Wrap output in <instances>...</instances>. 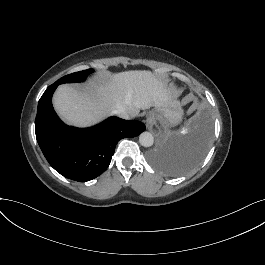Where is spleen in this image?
I'll return each instance as SVG.
<instances>
[{"instance_id":"3e777b00","label":"spleen","mask_w":265,"mask_h":265,"mask_svg":"<svg viewBox=\"0 0 265 265\" xmlns=\"http://www.w3.org/2000/svg\"><path fill=\"white\" fill-rule=\"evenodd\" d=\"M182 131H185V129L183 128L180 133H182ZM178 134H179V132H176V135H178Z\"/></svg>"}]
</instances>
